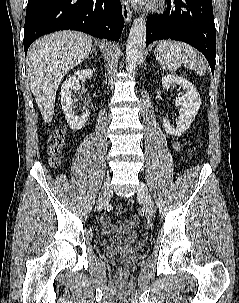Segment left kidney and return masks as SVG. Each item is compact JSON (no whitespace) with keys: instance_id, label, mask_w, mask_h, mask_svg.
Masks as SVG:
<instances>
[{"instance_id":"obj_1","label":"left kidney","mask_w":239,"mask_h":303,"mask_svg":"<svg viewBox=\"0 0 239 303\" xmlns=\"http://www.w3.org/2000/svg\"><path fill=\"white\" fill-rule=\"evenodd\" d=\"M175 84L185 89L184 95L177 100V103L181 106L178 123L174 126L170 124L168 119L163 118V126L166 133L173 136H181L195 119L201 105V98L190 81L175 75L162 77V85L165 89H169Z\"/></svg>"}]
</instances>
